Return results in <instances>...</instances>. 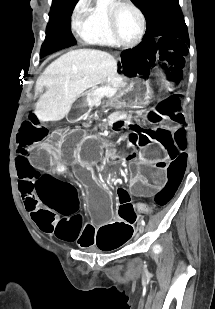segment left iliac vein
<instances>
[{
    "mask_svg": "<svg viewBox=\"0 0 215 309\" xmlns=\"http://www.w3.org/2000/svg\"><path fill=\"white\" fill-rule=\"evenodd\" d=\"M144 225L140 222L139 225H138V231H139V234H142L143 231H144Z\"/></svg>",
    "mask_w": 215,
    "mask_h": 309,
    "instance_id": "1",
    "label": "left iliac vein"
}]
</instances>
